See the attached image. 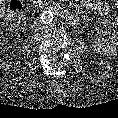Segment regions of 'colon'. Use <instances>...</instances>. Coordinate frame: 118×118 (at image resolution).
<instances>
[{
    "instance_id": "1",
    "label": "colon",
    "mask_w": 118,
    "mask_h": 118,
    "mask_svg": "<svg viewBox=\"0 0 118 118\" xmlns=\"http://www.w3.org/2000/svg\"><path fill=\"white\" fill-rule=\"evenodd\" d=\"M118 7V0H117ZM22 20V3L19 0H13L6 11L4 22L8 27H16Z\"/></svg>"
}]
</instances>
